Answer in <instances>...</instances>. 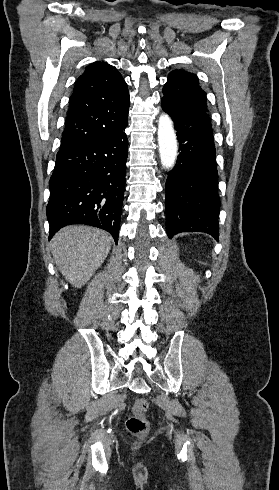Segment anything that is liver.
<instances>
[{
  "label": "liver",
  "mask_w": 279,
  "mask_h": 490,
  "mask_svg": "<svg viewBox=\"0 0 279 490\" xmlns=\"http://www.w3.org/2000/svg\"><path fill=\"white\" fill-rule=\"evenodd\" d=\"M112 246L108 232L89 226H66L52 240V256L65 280L82 288L107 258Z\"/></svg>",
  "instance_id": "obj_1"
}]
</instances>
